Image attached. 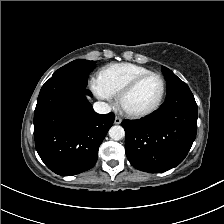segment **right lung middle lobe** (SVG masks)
Instances as JSON below:
<instances>
[{
  "label": "right lung middle lobe",
  "mask_w": 224,
  "mask_h": 224,
  "mask_svg": "<svg viewBox=\"0 0 224 224\" xmlns=\"http://www.w3.org/2000/svg\"><path fill=\"white\" fill-rule=\"evenodd\" d=\"M95 68L94 61L78 59L58 69L53 79L70 80L76 84L86 86L89 73Z\"/></svg>",
  "instance_id": "obj_1"
}]
</instances>
